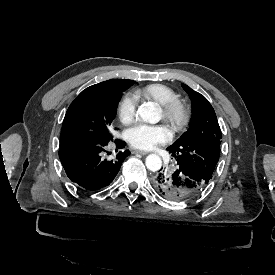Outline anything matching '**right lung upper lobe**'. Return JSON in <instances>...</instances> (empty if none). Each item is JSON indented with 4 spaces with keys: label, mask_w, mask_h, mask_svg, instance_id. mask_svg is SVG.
<instances>
[{
    "label": "right lung upper lobe",
    "mask_w": 275,
    "mask_h": 275,
    "mask_svg": "<svg viewBox=\"0 0 275 275\" xmlns=\"http://www.w3.org/2000/svg\"><path fill=\"white\" fill-rule=\"evenodd\" d=\"M134 81L126 80V79H110L108 81H104L95 85H92L86 88L83 91H93L104 88H115V87H127L133 85Z\"/></svg>",
    "instance_id": "1"
}]
</instances>
